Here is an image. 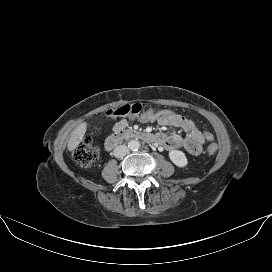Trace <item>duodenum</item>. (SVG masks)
I'll return each instance as SVG.
<instances>
[{
	"instance_id": "410a0bca",
	"label": "duodenum",
	"mask_w": 272,
	"mask_h": 272,
	"mask_svg": "<svg viewBox=\"0 0 272 272\" xmlns=\"http://www.w3.org/2000/svg\"><path fill=\"white\" fill-rule=\"evenodd\" d=\"M125 139H139L149 143L156 141V137L145 131L132 130V129H117L114 133L109 136L105 141V149L111 151L114 149L122 140Z\"/></svg>"
}]
</instances>
